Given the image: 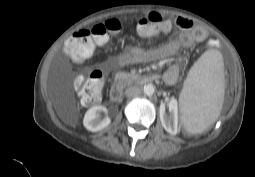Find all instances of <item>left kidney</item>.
<instances>
[{
	"mask_svg": "<svg viewBox=\"0 0 255 177\" xmlns=\"http://www.w3.org/2000/svg\"><path fill=\"white\" fill-rule=\"evenodd\" d=\"M170 115L165 114V109L160 108V120L164 129L175 135L178 127V103L176 99H171L168 104Z\"/></svg>",
	"mask_w": 255,
	"mask_h": 177,
	"instance_id": "obj_1",
	"label": "left kidney"
}]
</instances>
